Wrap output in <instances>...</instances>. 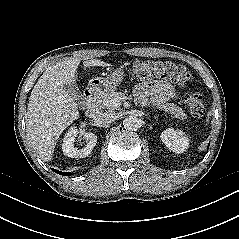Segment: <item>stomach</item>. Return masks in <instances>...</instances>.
<instances>
[{"instance_id": "stomach-1", "label": "stomach", "mask_w": 239, "mask_h": 239, "mask_svg": "<svg viewBox=\"0 0 239 239\" xmlns=\"http://www.w3.org/2000/svg\"><path fill=\"white\" fill-rule=\"evenodd\" d=\"M123 71L114 70L108 77H95L89 81V89L95 93H106L115 90L123 81Z\"/></svg>"}]
</instances>
